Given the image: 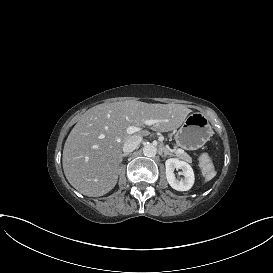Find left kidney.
<instances>
[{"label":"left kidney","instance_id":"obj_1","mask_svg":"<svg viewBox=\"0 0 273 273\" xmlns=\"http://www.w3.org/2000/svg\"><path fill=\"white\" fill-rule=\"evenodd\" d=\"M166 178L170 186L177 191H187L191 189L194 184V172L192 167L185 161H180L177 158H170L165 162ZM181 169L183 179L177 180L175 178L174 170Z\"/></svg>","mask_w":273,"mask_h":273}]
</instances>
